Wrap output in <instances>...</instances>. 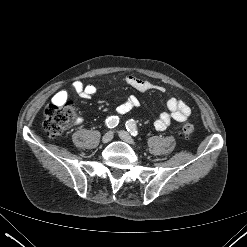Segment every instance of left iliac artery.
Returning a JSON list of instances; mask_svg holds the SVG:
<instances>
[{"instance_id": "obj_1", "label": "left iliac artery", "mask_w": 247, "mask_h": 247, "mask_svg": "<svg viewBox=\"0 0 247 247\" xmlns=\"http://www.w3.org/2000/svg\"><path fill=\"white\" fill-rule=\"evenodd\" d=\"M126 128L128 132H130L134 137L138 135V130L133 119H130L126 122Z\"/></svg>"}]
</instances>
